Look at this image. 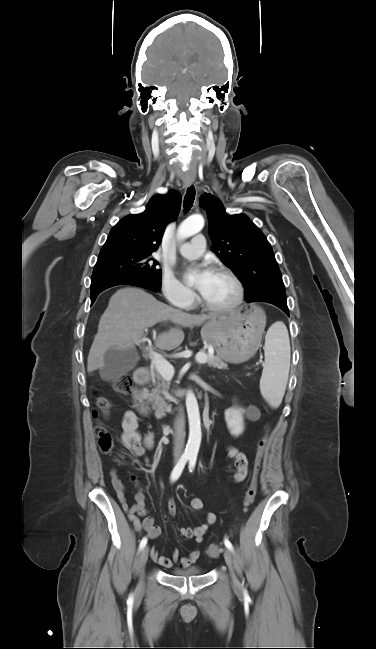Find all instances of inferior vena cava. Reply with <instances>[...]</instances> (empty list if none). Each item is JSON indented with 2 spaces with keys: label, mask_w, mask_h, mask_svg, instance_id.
<instances>
[{
  "label": "inferior vena cava",
  "mask_w": 376,
  "mask_h": 649,
  "mask_svg": "<svg viewBox=\"0 0 376 649\" xmlns=\"http://www.w3.org/2000/svg\"><path fill=\"white\" fill-rule=\"evenodd\" d=\"M184 438H185V426L184 422L181 421L176 426V439L174 443V455L180 456L184 448Z\"/></svg>",
  "instance_id": "602c4592"
}]
</instances>
